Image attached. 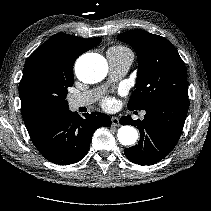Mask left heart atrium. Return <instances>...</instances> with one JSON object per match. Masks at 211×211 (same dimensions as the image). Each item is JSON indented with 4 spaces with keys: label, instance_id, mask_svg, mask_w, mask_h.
Masks as SVG:
<instances>
[{
    "label": "left heart atrium",
    "instance_id": "obj_1",
    "mask_svg": "<svg viewBox=\"0 0 211 211\" xmlns=\"http://www.w3.org/2000/svg\"><path fill=\"white\" fill-rule=\"evenodd\" d=\"M113 105V100L111 98H106L104 101H103V106L105 108H110L111 106Z\"/></svg>",
    "mask_w": 211,
    "mask_h": 211
}]
</instances>
